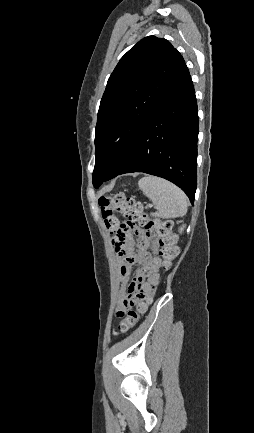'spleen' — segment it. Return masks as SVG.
Returning a JSON list of instances; mask_svg holds the SVG:
<instances>
[{"instance_id": "1", "label": "spleen", "mask_w": 254, "mask_h": 433, "mask_svg": "<svg viewBox=\"0 0 254 433\" xmlns=\"http://www.w3.org/2000/svg\"><path fill=\"white\" fill-rule=\"evenodd\" d=\"M139 188L152 200L157 211L152 215L162 219L182 217L187 212V198L184 192L171 182L146 176L139 180Z\"/></svg>"}]
</instances>
